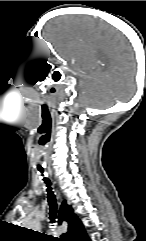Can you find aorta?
Masks as SVG:
<instances>
[{
  "mask_svg": "<svg viewBox=\"0 0 146 241\" xmlns=\"http://www.w3.org/2000/svg\"><path fill=\"white\" fill-rule=\"evenodd\" d=\"M30 227L33 228V229H37V228H38V223L35 222V221H32V222L30 223Z\"/></svg>",
  "mask_w": 146,
  "mask_h": 241,
  "instance_id": "762f6f07",
  "label": "aorta"
}]
</instances>
